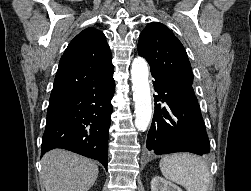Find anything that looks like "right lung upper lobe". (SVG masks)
Segmentation results:
<instances>
[{
  "label": "right lung upper lobe",
  "instance_id": "obj_1",
  "mask_svg": "<svg viewBox=\"0 0 251 191\" xmlns=\"http://www.w3.org/2000/svg\"><path fill=\"white\" fill-rule=\"evenodd\" d=\"M114 66L105 35L95 28L79 33L62 55L49 104L81 93L112 77Z\"/></svg>",
  "mask_w": 251,
  "mask_h": 191
}]
</instances>
